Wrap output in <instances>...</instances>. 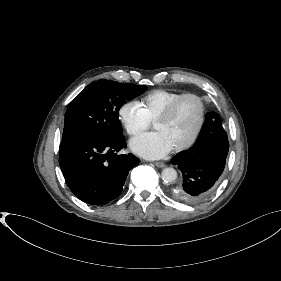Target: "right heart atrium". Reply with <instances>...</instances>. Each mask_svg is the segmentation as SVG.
<instances>
[{
    "mask_svg": "<svg viewBox=\"0 0 281 281\" xmlns=\"http://www.w3.org/2000/svg\"><path fill=\"white\" fill-rule=\"evenodd\" d=\"M118 119L130 136H137L150 125V121L136 101L124 102L118 109Z\"/></svg>",
    "mask_w": 281,
    "mask_h": 281,
    "instance_id": "1",
    "label": "right heart atrium"
}]
</instances>
